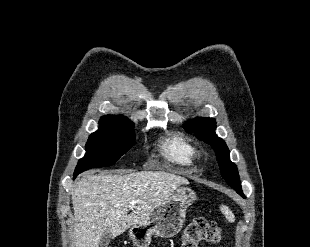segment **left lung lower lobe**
<instances>
[{
    "label": "left lung lower lobe",
    "instance_id": "obj_1",
    "mask_svg": "<svg viewBox=\"0 0 310 247\" xmlns=\"http://www.w3.org/2000/svg\"><path fill=\"white\" fill-rule=\"evenodd\" d=\"M235 190L237 191V193H238L240 196H242L243 198H245V196H244V194H243V192H242L241 187H238V188H236Z\"/></svg>",
    "mask_w": 310,
    "mask_h": 247
}]
</instances>
